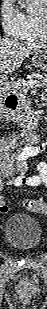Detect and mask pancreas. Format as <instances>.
<instances>
[{"instance_id":"1","label":"pancreas","mask_w":47,"mask_h":309,"mask_svg":"<svg viewBox=\"0 0 47 309\" xmlns=\"http://www.w3.org/2000/svg\"><path fill=\"white\" fill-rule=\"evenodd\" d=\"M33 77L39 80L44 85L47 83L46 74H36V75H32V77H30L29 79H19L15 81L11 86V90L21 95L22 101H25V103L21 105V108L17 110L16 113L13 115V120L23 128L31 126L29 117L32 116V113L30 112L28 105L26 103L27 102L26 95H27L28 88L23 87L22 84L36 81L33 79Z\"/></svg>"}]
</instances>
